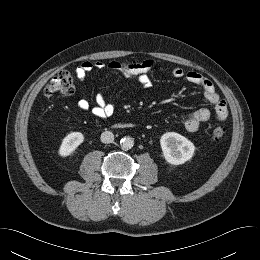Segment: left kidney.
<instances>
[{"mask_svg": "<svg viewBox=\"0 0 260 260\" xmlns=\"http://www.w3.org/2000/svg\"><path fill=\"white\" fill-rule=\"evenodd\" d=\"M160 145L165 160L173 165L184 164L193 157L195 146L186 137L167 132L161 136Z\"/></svg>", "mask_w": 260, "mask_h": 260, "instance_id": "1", "label": "left kidney"}]
</instances>
